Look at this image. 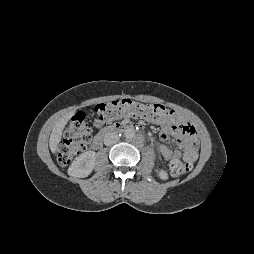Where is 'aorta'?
<instances>
[{
  "instance_id": "1",
  "label": "aorta",
  "mask_w": 254,
  "mask_h": 254,
  "mask_svg": "<svg viewBox=\"0 0 254 254\" xmlns=\"http://www.w3.org/2000/svg\"><path fill=\"white\" fill-rule=\"evenodd\" d=\"M124 137L127 139H132L135 137V130L133 128H128L124 131Z\"/></svg>"
}]
</instances>
